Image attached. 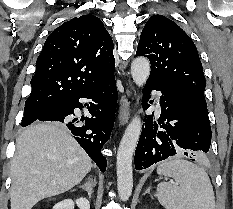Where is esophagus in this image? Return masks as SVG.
<instances>
[{"label":"esophagus","instance_id":"34e87169","mask_svg":"<svg viewBox=\"0 0 233 209\" xmlns=\"http://www.w3.org/2000/svg\"><path fill=\"white\" fill-rule=\"evenodd\" d=\"M130 117V101L128 100V91L126 95L121 96L119 108V126H124Z\"/></svg>","mask_w":233,"mask_h":209}]
</instances>
